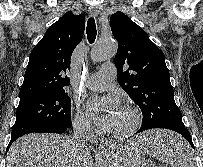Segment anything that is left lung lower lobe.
<instances>
[{
	"instance_id": "left-lung-lower-lobe-1",
	"label": "left lung lower lobe",
	"mask_w": 203,
	"mask_h": 167,
	"mask_svg": "<svg viewBox=\"0 0 203 167\" xmlns=\"http://www.w3.org/2000/svg\"><path fill=\"white\" fill-rule=\"evenodd\" d=\"M166 129H170V130H173V131L181 134L189 142V144L194 148V145H193L190 133H189V131L185 127H169V128H166ZM144 130H148V129L140 128L137 131V133L142 132Z\"/></svg>"
}]
</instances>
